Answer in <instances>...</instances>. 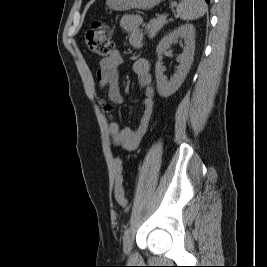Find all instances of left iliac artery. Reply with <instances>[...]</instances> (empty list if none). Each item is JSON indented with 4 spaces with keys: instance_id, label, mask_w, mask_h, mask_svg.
Instances as JSON below:
<instances>
[{
    "instance_id": "1",
    "label": "left iliac artery",
    "mask_w": 267,
    "mask_h": 267,
    "mask_svg": "<svg viewBox=\"0 0 267 267\" xmlns=\"http://www.w3.org/2000/svg\"><path fill=\"white\" fill-rule=\"evenodd\" d=\"M130 233V228H126V230L124 231V236H128Z\"/></svg>"
}]
</instances>
